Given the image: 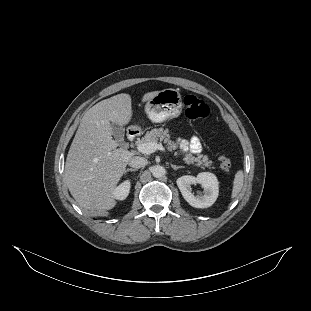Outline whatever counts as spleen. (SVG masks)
Here are the masks:
<instances>
[{"label":"spleen","instance_id":"spleen-1","mask_svg":"<svg viewBox=\"0 0 311 311\" xmlns=\"http://www.w3.org/2000/svg\"><path fill=\"white\" fill-rule=\"evenodd\" d=\"M244 183V174L243 171H238L235 174L234 182H233V190H232V198H235L241 191Z\"/></svg>","mask_w":311,"mask_h":311}]
</instances>
